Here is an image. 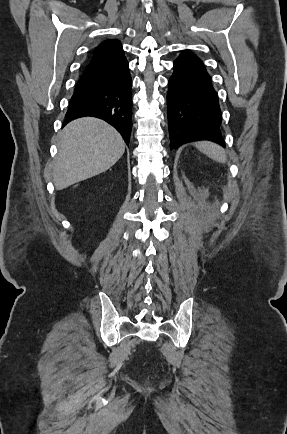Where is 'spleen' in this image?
Segmentation results:
<instances>
[{"label": "spleen", "mask_w": 287, "mask_h": 434, "mask_svg": "<svg viewBox=\"0 0 287 434\" xmlns=\"http://www.w3.org/2000/svg\"><path fill=\"white\" fill-rule=\"evenodd\" d=\"M196 147L199 151H201L211 159L219 163L226 162L227 156L225 150L219 145L209 141H202L197 143Z\"/></svg>", "instance_id": "3e777b00"}]
</instances>
